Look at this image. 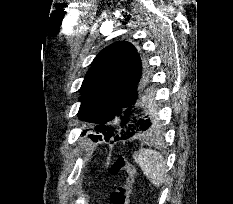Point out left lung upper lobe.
<instances>
[{
    "mask_svg": "<svg viewBox=\"0 0 233 204\" xmlns=\"http://www.w3.org/2000/svg\"><path fill=\"white\" fill-rule=\"evenodd\" d=\"M146 75L136 48L119 41L103 49L95 57L81 86L82 100L78 112L81 120L96 123L91 140L108 141L123 133L113 123L121 116V102L129 88Z\"/></svg>",
    "mask_w": 233,
    "mask_h": 204,
    "instance_id": "obj_1",
    "label": "left lung upper lobe"
}]
</instances>
